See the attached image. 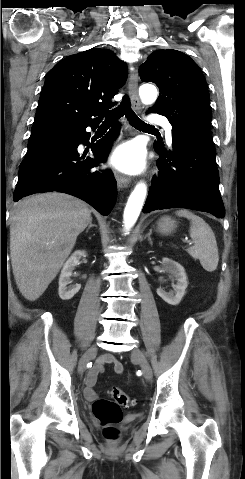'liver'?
Returning a JSON list of instances; mask_svg holds the SVG:
<instances>
[{"label":"liver","mask_w":245,"mask_h":479,"mask_svg":"<svg viewBox=\"0 0 245 479\" xmlns=\"http://www.w3.org/2000/svg\"><path fill=\"white\" fill-rule=\"evenodd\" d=\"M92 221L81 200L64 193L38 194L18 202L10 226V257L21 294L37 300Z\"/></svg>","instance_id":"obj_1"}]
</instances>
